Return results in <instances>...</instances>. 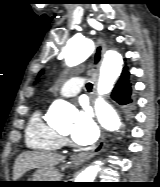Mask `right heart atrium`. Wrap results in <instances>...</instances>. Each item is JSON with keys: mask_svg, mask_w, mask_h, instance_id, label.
Instances as JSON below:
<instances>
[{"mask_svg": "<svg viewBox=\"0 0 160 187\" xmlns=\"http://www.w3.org/2000/svg\"><path fill=\"white\" fill-rule=\"evenodd\" d=\"M67 141L65 139H63V144L66 143Z\"/></svg>", "mask_w": 160, "mask_h": 187, "instance_id": "right-heart-atrium-1", "label": "right heart atrium"}]
</instances>
